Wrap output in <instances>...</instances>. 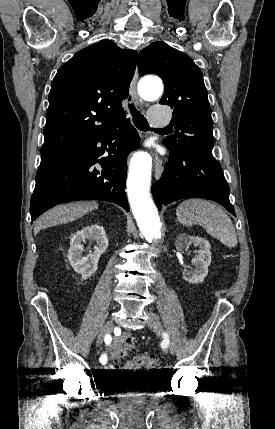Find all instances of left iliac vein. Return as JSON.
Segmentation results:
<instances>
[{
  "mask_svg": "<svg viewBox=\"0 0 275 429\" xmlns=\"http://www.w3.org/2000/svg\"><path fill=\"white\" fill-rule=\"evenodd\" d=\"M148 316H149V319H148L149 326L153 330H155L157 332H160L162 330V326H161V322H160L159 316L157 314H155L154 312H149ZM169 349H170V353L171 354L175 353V347H174L173 344H170V348Z\"/></svg>",
  "mask_w": 275,
  "mask_h": 429,
  "instance_id": "4c4485c4",
  "label": "left iliac vein"
}]
</instances>
